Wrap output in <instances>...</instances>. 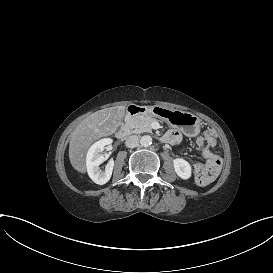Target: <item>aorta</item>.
Segmentation results:
<instances>
[{
    "instance_id": "762f6f07",
    "label": "aorta",
    "mask_w": 273,
    "mask_h": 273,
    "mask_svg": "<svg viewBox=\"0 0 273 273\" xmlns=\"http://www.w3.org/2000/svg\"><path fill=\"white\" fill-rule=\"evenodd\" d=\"M140 144L143 147H148L152 144V137L149 135H144L140 138Z\"/></svg>"
}]
</instances>
